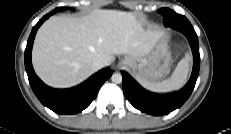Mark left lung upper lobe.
Here are the masks:
<instances>
[{
  "label": "left lung upper lobe",
  "mask_w": 231,
  "mask_h": 134,
  "mask_svg": "<svg viewBox=\"0 0 231 134\" xmlns=\"http://www.w3.org/2000/svg\"><path fill=\"white\" fill-rule=\"evenodd\" d=\"M172 12H173V10H170L168 8H162L159 10V13L164 17V24L166 26L172 25V19H171Z\"/></svg>",
  "instance_id": "obj_1"
}]
</instances>
